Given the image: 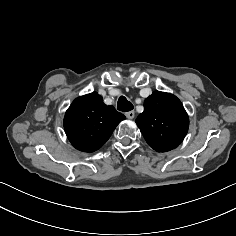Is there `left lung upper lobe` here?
<instances>
[{"label":"left lung upper lobe","mask_w":236,"mask_h":236,"mask_svg":"<svg viewBox=\"0 0 236 236\" xmlns=\"http://www.w3.org/2000/svg\"><path fill=\"white\" fill-rule=\"evenodd\" d=\"M136 124L151 148L166 152L183 141L189 118L175 95L155 91L144 101V111L137 117Z\"/></svg>","instance_id":"left-lung-upper-lobe-1"}]
</instances>
